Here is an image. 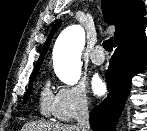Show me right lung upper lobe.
I'll use <instances>...</instances> for the list:
<instances>
[{"instance_id": "cb5924a9", "label": "right lung upper lobe", "mask_w": 147, "mask_h": 131, "mask_svg": "<svg viewBox=\"0 0 147 131\" xmlns=\"http://www.w3.org/2000/svg\"><path fill=\"white\" fill-rule=\"evenodd\" d=\"M102 9L106 22L116 27L114 44L136 35L146 26L145 8L141 0H102ZM59 25L60 21L51 30L33 72L39 70L50 41Z\"/></svg>"}]
</instances>
